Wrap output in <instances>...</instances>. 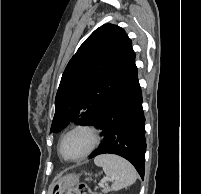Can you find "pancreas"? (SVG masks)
Here are the masks:
<instances>
[{
    "instance_id": "obj_1",
    "label": "pancreas",
    "mask_w": 201,
    "mask_h": 194,
    "mask_svg": "<svg viewBox=\"0 0 201 194\" xmlns=\"http://www.w3.org/2000/svg\"><path fill=\"white\" fill-rule=\"evenodd\" d=\"M109 191H110V189L108 187H106V188L103 189L104 193H108Z\"/></svg>"
}]
</instances>
